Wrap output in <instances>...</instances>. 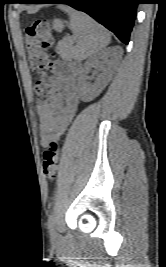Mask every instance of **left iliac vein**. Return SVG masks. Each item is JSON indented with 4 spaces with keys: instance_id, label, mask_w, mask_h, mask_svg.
Segmentation results:
<instances>
[{
    "instance_id": "obj_1",
    "label": "left iliac vein",
    "mask_w": 166,
    "mask_h": 267,
    "mask_svg": "<svg viewBox=\"0 0 166 267\" xmlns=\"http://www.w3.org/2000/svg\"><path fill=\"white\" fill-rule=\"evenodd\" d=\"M50 237H51V240H52L53 242H56V241H57V239H58V233L56 232L55 229H53V230L51 231Z\"/></svg>"
}]
</instances>
